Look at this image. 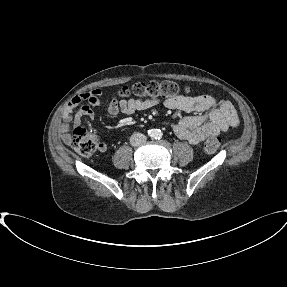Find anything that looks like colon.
<instances>
[{
    "label": "colon",
    "mask_w": 287,
    "mask_h": 287,
    "mask_svg": "<svg viewBox=\"0 0 287 287\" xmlns=\"http://www.w3.org/2000/svg\"><path fill=\"white\" fill-rule=\"evenodd\" d=\"M190 87H182L173 81H152L148 83H137L131 87H125L120 91L124 98L135 97L138 100H156L158 98H173L192 94ZM134 99V98H133ZM220 139L209 138L204 144L206 153H214L220 147ZM71 147L81 156L90 157L100 149L97 136L80 127L74 129L70 138Z\"/></svg>",
    "instance_id": "colon-1"
}]
</instances>
